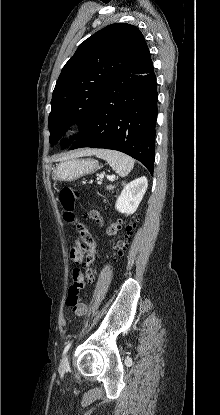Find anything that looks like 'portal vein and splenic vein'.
<instances>
[{"mask_svg":"<svg viewBox=\"0 0 220 415\" xmlns=\"http://www.w3.org/2000/svg\"><path fill=\"white\" fill-rule=\"evenodd\" d=\"M103 177H104V174H101V175H100V178H103ZM113 177H114V176H108V178H109V179H112Z\"/></svg>","mask_w":220,"mask_h":415,"instance_id":"obj_1","label":"portal vein and splenic vein"}]
</instances>
